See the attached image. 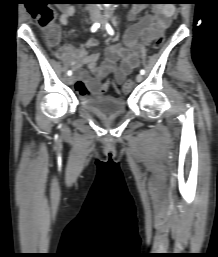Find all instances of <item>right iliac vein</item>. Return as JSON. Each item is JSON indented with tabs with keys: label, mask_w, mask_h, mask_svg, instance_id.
<instances>
[{
	"label": "right iliac vein",
	"mask_w": 218,
	"mask_h": 257,
	"mask_svg": "<svg viewBox=\"0 0 218 257\" xmlns=\"http://www.w3.org/2000/svg\"><path fill=\"white\" fill-rule=\"evenodd\" d=\"M96 20L95 17H91V21L94 22ZM67 83L69 85H72L74 83V77L73 76H69V78L67 79Z\"/></svg>",
	"instance_id": "63e3f726"
}]
</instances>
